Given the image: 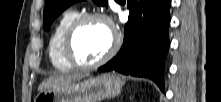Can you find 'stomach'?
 I'll return each mask as SVG.
<instances>
[{
  "instance_id": "stomach-1",
  "label": "stomach",
  "mask_w": 221,
  "mask_h": 102,
  "mask_svg": "<svg viewBox=\"0 0 221 102\" xmlns=\"http://www.w3.org/2000/svg\"><path fill=\"white\" fill-rule=\"evenodd\" d=\"M122 80L114 74H103L79 82L41 91L34 102H101L121 92Z\"/></svg>"
}]
</instances>
